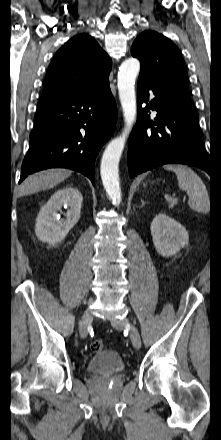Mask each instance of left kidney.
<instances>
[{"mask_svg":"<svg viewBox=\"0 0 221 440\" xmlns=\"http://www.w3.org/2000/svg\"><path fill=\"white\" fill-rule=\"evenodd\" d=\"M150 229L153 244L157 252L164 257L175 255L189 241L187 230L165 213L155 216Z\"/></svg>","mask_w":221,"mask_h":440,"instance_id":"left-kidney-1","label":"left kidney"}]
</instances>
